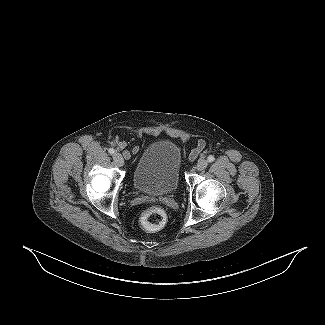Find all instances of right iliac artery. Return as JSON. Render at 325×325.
<instances>
[{"instance_id": "obj_1", "label": "right iliac artery", "mask_w": 325, "mask_h": 325, "mask_svg": "<svg viewBox=\"0 0 325 325\" xmlns=\"http://www.w3.org/2000/svg\"><path fill=\"white\" fill-rule=\"evenodd\" d=\"M108 152H109L110 154H114V153H115V150H114L113 148H109Z\"/></svg>"}]
</instances>
